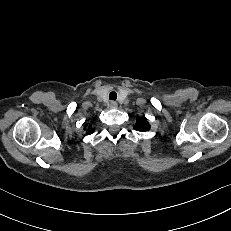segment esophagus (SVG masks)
I'll return each instance as SVG.
<instances>
[{"label":"esophagus","instance_id":"1","mask_svg":"<svg viewBox=\"0 0 231 231\" xmlns=\"http://www.w3.org/2000/svg\"><path fill=\"white\" fill-rule=\"evenodd\" d=\"M110 109H116L117 108V103L115 101H111L109 104Z\"/></svg>","mask_w":231,"mask_h":231}]
</instances>
